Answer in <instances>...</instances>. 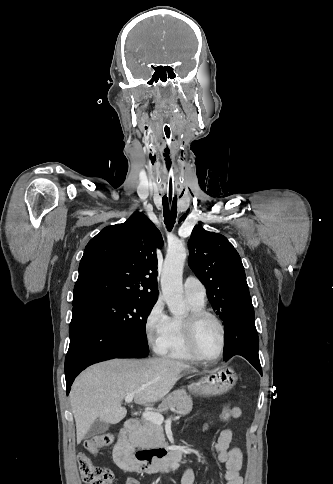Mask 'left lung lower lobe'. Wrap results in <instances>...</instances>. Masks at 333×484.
Returning <instances> with one entry per match:
<instances>
[{
    "label": "left lung lower lobe",
    "mask_w": 333,
    "mask_h": 484,
    "mask_svg": "<svg viewBox=\"0 0 333 484\" xmlns=\"http://www.w3.org/2000/svg\"><path fill=\"white\" fill-rule=\"evenodd\" d=\"M224 326L226 342L224 360L227 361L234 355H241L262 372L258 356L259 339L251 299L236 306L228 315Z\"/></svg>",
    "instance_id": "obj_1"
}]
</instances>
